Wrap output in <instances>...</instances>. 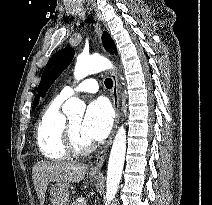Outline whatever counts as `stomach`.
<instances>
[{
  "label": "stomach",
  "mask_w": 212,
  "mask_h": 205,
  "mask_svg": "<svg viewBox=\"0 0 212 205\" xmlns=\"http://www.w3.org/2000/svg\"><path fill=\"white\" fill-rule=\"evenodd\" d=\"M90 180L96 181L97 176L89 175ZM50 200L52 205H69L68 185L63 182H57L53 185L50 192Z\"/></svg>",
  "instance_id": "stomach-1"
}]
</instances>
